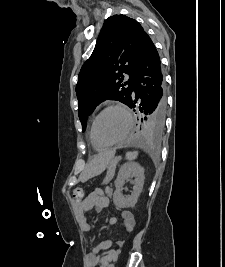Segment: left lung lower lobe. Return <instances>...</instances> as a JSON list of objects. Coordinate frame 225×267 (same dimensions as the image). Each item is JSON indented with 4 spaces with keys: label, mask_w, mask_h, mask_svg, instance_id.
I'll return each mask as SVG.
<instances>
[{
    "label": "left lung lower lobe",
    "mask_w": 225,
    "mask_h": 267,
    "mask_svg": "<svg viewBox=\"0 0 225 267\" xmlns=\"http://www.w3.org/2000/svg\"><path fill=\"white\" fill-rule=\"evenodd\" d=\"M130 108L139 109L141 117L151 115L160 124L165 122V84L159 54L147 35L137 61L133 78Z\"/></svg>",
    "instance_id": "obj_1"
}]
</instances>
